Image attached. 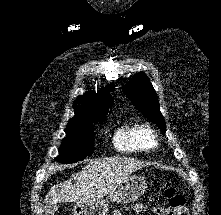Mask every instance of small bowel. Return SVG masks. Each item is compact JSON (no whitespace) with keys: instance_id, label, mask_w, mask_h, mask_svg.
Masks as SVG:
<instances>
[{"instance_id":"obj_1","label":"small bowel","mask_w":221,"mask_h":215,"mask_svg":"<svg viewBox=\"0 0 221 215\" xmlns=\"http://www.w3.org/2000/svg\"><path fill=\"white\" fill-rule=\"evenodd\" d=\"M126 210H133L137 213H141L145 210V206L143 204L137 203L132 206H128L125 208ZM113 215H122V210L114 211Z\"/></svg>"}]
</instances>
